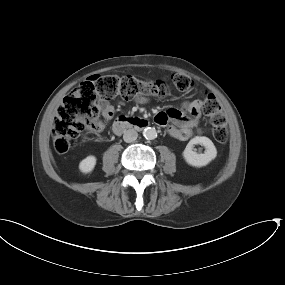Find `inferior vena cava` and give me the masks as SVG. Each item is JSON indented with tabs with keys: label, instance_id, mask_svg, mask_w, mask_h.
I'll use <instances>...</instances> for the list:
<instances>
[{
	"label": "inferior vena cava",
	"instance_id": "1",
	"mask_svg": "<svg viewBox=\"0 0 285 285\" xmlns=\"http://www.w3.org/2000/svg\"><path fill=\"white\" fill-rule=\"evenodd\" d=\"M137 137H138V133L134 129L126 130L124 132V135H123V139L127 143H131V142L135 141L137 139Z\"/></svg>",
	"mask_w": 285,
	"mask_h": 285
}]
</instances>
